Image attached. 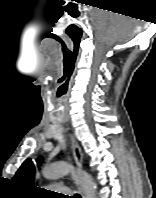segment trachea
Here are the masks:
<instances>
[{"label":"trachea","instance_id":"trachea-1","mask_svg":"<svg viewBox=\"0 0 156 198\" xmlns=\"http://www.w3.org/2000/svg\"><path fill=\"white\" fill-rule=\"evenodd\" d=\"M73 198H81L79 194H75Z\"/></svg>","mask_w":156,"mask_h":198}]
</instances>
